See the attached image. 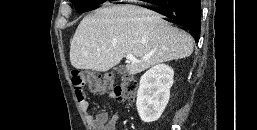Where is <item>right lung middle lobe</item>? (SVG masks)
Instances as JSON below:
<instances>
[{
  "label": "right lung middle lobe",
  "instance_id": "dd1d6c3e",
  "mask_svg": "<svg viewBox=\"0 0 257 130\" xmlns=\"http://www.w3.org/2000/svg\"><path fill=\"white\" fill-rule=\"evenodd\" d=\"M78 13L89 11L102 4L104 0H71Z\"/></svg>",
  "mask_w": 257,
  "mask_h": 130
}]
</instances>
